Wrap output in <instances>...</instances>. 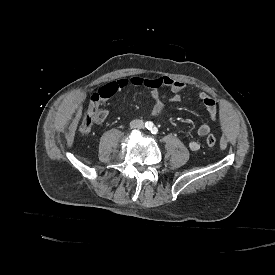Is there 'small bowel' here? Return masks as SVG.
<instances>
[{"mask_svg": "<svg viewBox=\"0 0 275 275\" xmlns=\"http://www.w3.org/2000/svg\"><path fill=\"white\" fill-rule=\"evenodd\" d=\"M158 80L160 81V85H164L170 88L172 92V95L169 97L170 101L172 102L180 101L181 92L185 88V84L182 81L171 79L168 77H164L163 79H158ZM153 81H157V80L143 79L138 76L132 77L130 80L120 78L116 81L109 82L101 86L100 89L95 94L92 95V100L98 101L101 98L110 97L115 93L121 91L123 88H125L129 84L135 87L145 86L150 89L151 97L153 99L152 115L158 116L163 111L166 97L163 94H161L160 91L158 90V87L160 85L159 86L152 85ZM198 98L206 108L209 118L211 120H215L218 114V108H217V103L215 99L205 92H200L198 94ZM99 119L102 120V117H99ZM210 130H211L210 126L204 123L198 127L197 134L201 137H205L210 133ZM189 147L193 151H196L199 148V144L196 141H191L189 143Z\"/></svg>", "mask_w": 275, "mask_h": 275, "instance_id": "small-bowel-1", "label": "small bowel"}]
</instances>
